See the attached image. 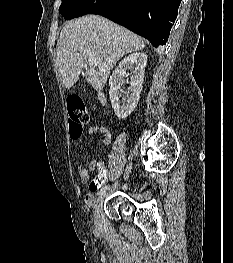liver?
Listing matches in <instances>:
<instances>
[{
  "instance_id": "1",
  "label": "liver",
  "mask_w": 233,
  "mask_h": 263,
  "mask_svg": "<svg viewBox=\"0 0 233 263\" xmlns=\"http://www.w3.org/2000/svg\"><path fill=\"white\" fill-rule=\"evenodd\" d=\"M144 47V41L128 29L104 17L87 15L68 22L62 29L56 62L67 89L78 81L82 72L88 83L101 91L116 63L124 55ZM90 58L97 60L98 69L89 65Z\"/></svg>"
}]
</instances>
